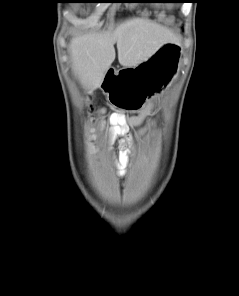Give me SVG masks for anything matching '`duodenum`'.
<instances>
[{
	"label": "duodenum",
	"mask_w": 239,
	"mask_h": 296,
	"mask_svg": "<svg viewBox=\"0 0 239 296\" xmlns=\"http://www.w3.org/2000/svg\"><path fill=\"white\" fill-rule=\"evenodd\" d=\"M117 74H118V71L116 69H113V68L109 69L107 72L105 81H109V82L114 81Z\"/></svg>",
	"instance_id": "obj_1"
}]
</instances>
